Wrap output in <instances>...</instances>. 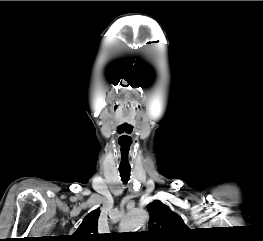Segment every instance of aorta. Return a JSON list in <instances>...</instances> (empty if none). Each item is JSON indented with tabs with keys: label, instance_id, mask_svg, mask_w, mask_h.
<instances>
[{
	"label": "aorta",
	"instance_id": "obj_1",
	"mask_svg": "<svg viewBox=\"0 0 263 241\" xmlns=\"http://www.w3.org/2000/svg\"><path fill=\"white\" fill-rule=\"evenodd\" d=\"M147 218L148 214L145 210L134 208L122 219L121 228L128 231L137 230L147 221Z\"/></svg>",
	"mask_w": 263,
	"mask_h": 241
}]
</instances>
